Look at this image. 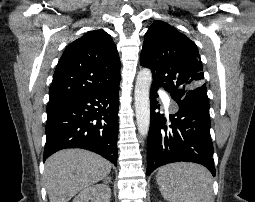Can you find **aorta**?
<instances>
[{"mask_svg":"<svg viewBox=\"0 0 255 202\" xmlns=\"http://www.w3.org/2000/svg\"><path fill=\"white\" fill-rule=\"evenodd\" d=\"M152 73L148 68L140 70L135 84V112L139 134L146 137L150 127V86Z\"/></svg>","mask_w":255,"mask_h":202,"instance_id":"aorta-1","label":"aorta"}]
</instances>
